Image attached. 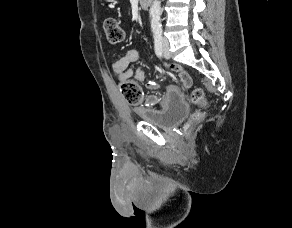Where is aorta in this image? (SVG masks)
Listing matches in <instances>:
<instances>
[{
	"label": "aorta",
	"mask_w": 292,
	"mask_h": 228,
	"mask_svg": "<svg viewBox=\"0 0 292 228\" xmlns=\"http://www.w3.org/2000/svg\"><path fill=\"white\" fill-rule=\"evenodd\" d=\"M150 18H151V29L154 33L161 31V24H160V15H161V7L160 1L154 0L151 7H150Z\"/></svg>",
	"instance_id": "obj_1"
}]
</instances>
